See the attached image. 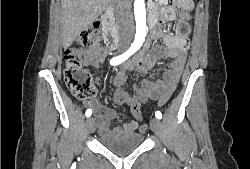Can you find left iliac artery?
Masks as SVG:
<instances>
[{
  "label": "left iliac artery",
  "instance_id": "left-iliac-artery-1",
  "mask_svg": "<svg viewBox=\"0 0 250 169\" xmlns=\"http://www.w3.org/2000/svg\"><path fill=\"white\" fill-rule=\"evenodd\" d=\"M155 116H156V118L161 119L162 113L160 111H156Z\"/></svg>",
  "mask_w": 250,
  "mask_h": 169
}]
</instances>
